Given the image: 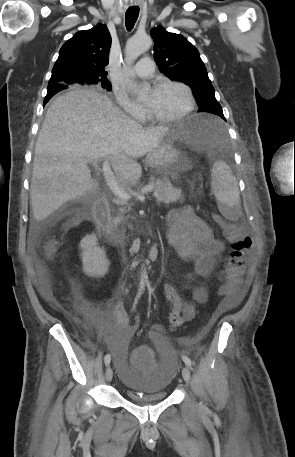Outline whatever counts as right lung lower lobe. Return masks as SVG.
Masks as SVG:
<instances>
[{"label": "right lung lower lobe", "instance_id": "1", "mask_svg": "<svg viewBox=\"0 0 295 457\" xmlns=\"http://www.w3.org/2000/svg\"><path fill=\"white\" fill-rule=\"evenodd\" d=\"M66 87H63V86H59V85H53V86H48V90H47V95L44 99V105L50 100V98L55 95L57 92L65 89Z\"/></svg>", "mask_w": 295, "mask_h": 457}]
</instances>
